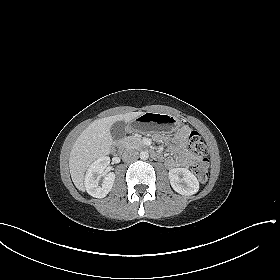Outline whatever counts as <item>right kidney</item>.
<instances>
[{"label":"right kidney","instance_id":"obj_1","mask_svg":"<svg viewBox=\"0 0 280 280\" xmlns=\"http://www.w3.org/2000/svg\"><path fill=\"white\" fill-rule=\"evenodd\" d=\"M109 162L110 160L108 157H100L94 161L87 170L84 185L87 193L92 197L104 198L113 187L115 173L105 172ZM101 176H103V182L99 184Z\"/></svg>","mask_w":280,"mask_h":280}]
</instances>
